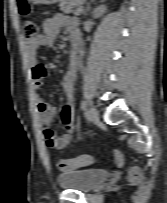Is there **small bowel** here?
<instances>
[{
  "label": "small bowel",
  "mask_w": 167,
  "mask_h": 203,
  "mask_svg": "<svg viewBox=\"0 0 167 203\" xmlns=\"http://www.w3.org/2000/svg\"><path fill=\"white\" fill-rule=\"evenodd\" d=\"M42 29L41 34L26 41V52L31 69V80L35 88H39L42 85L49 70V67L38 58L40 49L53 46L62 30H65L70 38L75 41L78 37V21L73 17L56 14L43 21ZM78 68V57L70 51L68 57V71L62 78V85L67 100L61 111H59L57 107L44 101L40 96L36 98V110L43 128L42 135L46 145L51 149H62L67 146L76 131L74 123L75 101L73 87ZM58 114H60V120L64 126V131L61 135H57L50 127L52 119Z\"/></svg>",
  "instance_id": "1"
}]
</instances>
